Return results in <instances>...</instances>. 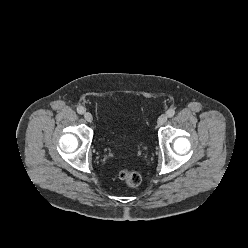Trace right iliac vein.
Wrapping results in <instances>:
<instances>
[{"instance_id":"1","label":"right iliac vein","mask_w":248,"mask_h":248,"mask_svg":"<svg viewBox=\"0 0 248 248\" xmlns=\"http://www.w3.org/2000/svg\"><path fill=\"white\" fill-rule=\"evenodd\" d=\"M84 118L87 122H92L93 121V116L90 112H85L84 113Z\"/></svg>"}]
</instances>
